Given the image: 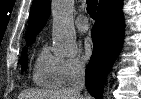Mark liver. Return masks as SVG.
Listing matches in <instances>:
<instances>
[{
  "instance_id": "obj_1",
  "label": "liver",
  "mask_w": 141,
  "mask_h": 99,
  "mask_svg": "<svg viewBox=\"0 0 141 99\" xmlns=\"http://www.w3.org/2000/svg\"><path fill=\"white\" fill-rule=\"evenodd\" d=\"M18 99H85L72 87L60 90L30 89L21 92Z\"/></svg>"
}]
</instances>
